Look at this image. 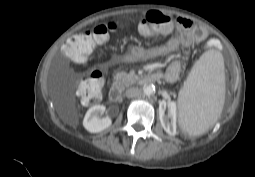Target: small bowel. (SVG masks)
<instances>
[{
    "instance_id": "c3829d8e",
    "label": "small bowel",
    "mask_w": 255,
    "mask_h": 177,
    "mask_svg": "<svg viewBox=\"0 0 255 177\" xmlns=\"http://www.w3.org/2000/svg\"><path fill=\"white\" fill-rule=\"evenodd\" d=\"M171 28L166 33L170 32ZM206 32L203 28L196 27L193 23L184 17H179L176 20V33L171 36L163 44L143 48L134 46L130 48L122 57L124 62H135L140 60H156L174 54L180 47L187 46L193 42L201 41L205 38ZM182 73V64L179 60L173 61L165 74V79L168 83L178 81Z\"/></svg>"
}]
</instances>
